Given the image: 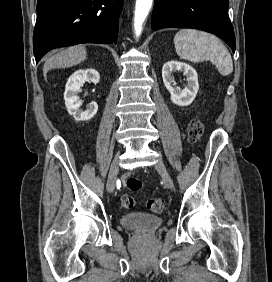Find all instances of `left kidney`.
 Masks as SVG:
<instances>
[{
	"label": "left kidney",
	"instance_id": "obj_1",
	"mask_svg": "<svg viewBox=\"0 0 272 282\" xmlns=\"http://www.w3.org/2000/svg\"><path fill=\"white\" fill-rule=\"evenodd\" d=\"M183 72L187 76V85L184 89L174 87V72ZM162 78L166 89L171 94V101L178 106H188L195 99L199 84L196 70L187 63L168 61L163 65Z\"/></svg>",
	"mask_w": 272,
	"mask_h": 282
}]
</instances>
